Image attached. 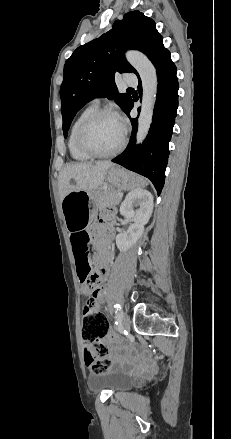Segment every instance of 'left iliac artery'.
Segmentation results:
<instances>
[{
  "label": "left iliac artery",
  "instance_id": "obj_1",
  "mask_svg": "<svg viewBox=\"0 0 231 439\" xmlns=\"http://www.w3.org/2000/svg\"><path fill=\"white\" fill-rule=\"evenodd\" d=\"M114 308H115V325L117 326V328H119L121 326V307L119 304L115 303L114 304Z\"/></svg>",
  "mask_w": 231,
  "mask_h": 439
}]
</instances>
